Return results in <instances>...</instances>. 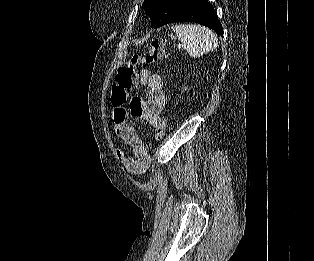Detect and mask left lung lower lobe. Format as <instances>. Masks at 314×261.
<instances>
[{"mask_svg": "<svg viewBox=\"0 0 314 261\" xmlns=\"http://www.w3.org/2000/svg\"><path fill=\"white\" fill-rule=\"evenodd\" d=\"M196 22L223 35V29L213 6L206 0H184L168 23Z\"/></svg>", "mask_w": 314, "mask_h": 261, "instance_id": "0a47b994", "label": "left lung lower lobe"}]
</instances>
